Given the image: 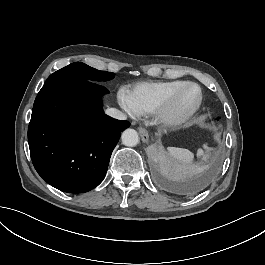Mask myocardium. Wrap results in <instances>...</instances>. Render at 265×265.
Returning <instances> with one entry per match:
<instances>
[{"label":"myocardium","mask_w":265,"mask_h":265,"mask_svg":"<svg viewBox=\"0 0 265 265\" xmlns=\"http://www.w3.org/2000/svg\"><path fill=\"white\" fill-rule=\"evenodd\" d=\"M189 86H196L199 91L196 103L188 109H179L178 103L184 90ZM205 94L200 83L192 80L184 81L172 94V96L157 110L155 122L165 129H176L187 123L203 106Z\"/></svg>","instance_id":"f54148a6"}]
</instances>
